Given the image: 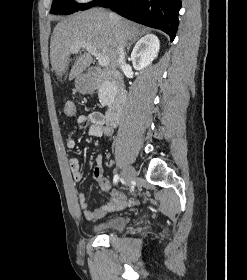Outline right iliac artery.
I'll list each match as a JSON object with an SVG mask.
<instances>
[{"instance_id":"82829eb1","label":"right iliac artery","mask_w":247,"mask_h":280,"mask_svg":"<svg viewBox=\"0 0 247 280\" xmlns=\"http://www.w3.org/2000/svg\"><path fill=\"white\" fill-rule=\"evenodd\" d=\"M118 180H119V176H118L117 174L114 175L113 183H114V184H117V183H118Z\"/></svg>"}]
</instances>
